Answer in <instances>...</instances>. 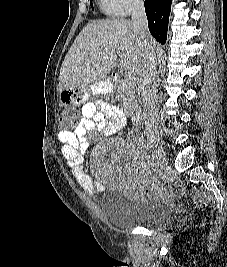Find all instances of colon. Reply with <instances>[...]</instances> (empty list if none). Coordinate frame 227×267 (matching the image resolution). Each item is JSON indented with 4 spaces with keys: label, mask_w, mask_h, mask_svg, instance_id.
I'll return each mask as SVG.
<instances>
[{
    "label": "colon",
    "mask_w": 227,
    "mask_h": 267,
    "mask_svg": "<svg viewBox=\"0 0 227 267\" xmlns=\"http://www.w3.org/2000/svg\"><path fill=\"white\" fill-rule=\"evenodd\" d=\"M71 106V104H66ZM74 119H80L78 110H60V130H71L74 123Z\"/></svg>",
    "instance_id": "5ec220e1"
}]
</instances>
